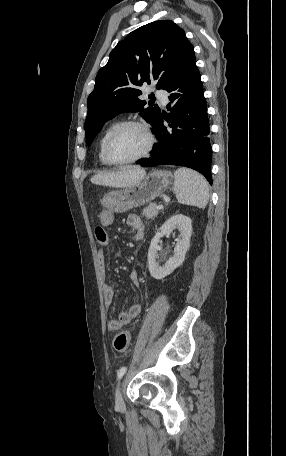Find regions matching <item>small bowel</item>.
Here are the masks:
<instances>
[{
    "label": "small bowel",
    "instance_id": "c3829d8e",
    "mask_svg": "<svg viewBox=\"0 0 286 456\" xmlns=\"http://www.w3.org/2000/svg\"><path fill=\"white\" fill-rule=\"evenodd\" d=\"M114 221V215L111 211L105 210L100 215L101 226H98L95 230L96 239L99 244L98 248V259L101 267V274L103 279V299L106 305H111L114 299V289L111 283L108 281L106 272V253L109 246V238L105 231V228L109 227ZM127 225L131 227L139 239L143 236L145 225L143 220L136 214H130L126 219ZM120 256V252L116 253V257ZM130 278L135 284H139V275L136 270L130 273ZM141 312V305L134 304L127 311L119 313L118 317L108 322L107 328L109 331L114 332L121 329L124 325L130 323L136 318Z\"/></svg>",
    "mask_w": 286,
    "mask_h": 456
}]
</instances>
